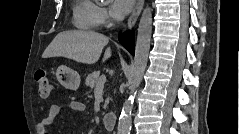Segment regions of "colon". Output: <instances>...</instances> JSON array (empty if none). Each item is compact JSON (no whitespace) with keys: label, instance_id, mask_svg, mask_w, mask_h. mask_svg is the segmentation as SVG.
I'll use <instances>...</instances> for the list:
<instances>
[{"label":"colon","instance_id":"1","mask_svg":"<svg viewBox=\"0 0 239 134\" xmlns=\"http://www.w3.org/2000/svg\"><path fill=\"white\" fill-rule=\"evenodd\" d=\"M37 90L43 98L50 95L52 91V82L45 71L40 70L35 76Z\"/></svg>","mask_w":239,"mask_h":134}]
</instances>
